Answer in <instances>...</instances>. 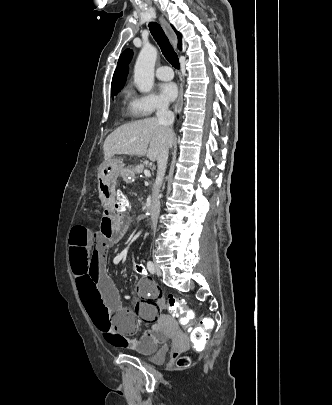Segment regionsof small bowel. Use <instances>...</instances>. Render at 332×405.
<instances>
[{
	"label": "small bowel",
	"mask_w": 332,
	"mask_h": 405,
	"mask_svg": "<svg viewBox=\"0 0 332 405\" xmlns=\"http://www.w3.org/2000/svg\"><path fill=\"white\" fill-rule=\"evenodd\" d=\"M99 172L103 204L100 229L94 232L75 225L68 240L77 298L84 305V315H88L91 326L98 329L108 344L130 350L157 349L166 340L161 330V312L166 306L162 291L148 279H141L136 285L134 312H130L122 306L117 288L106 271V255L126 234L130 215L126 214V221H122L118 219L119 211L112 208L117 200L113 184L119 177L117 160L105 159L99 165ZM137 318L151 322V329L140 338H130L139 328Z\"/></svg>",
	"instance_id": "1"
}]
</instances>
